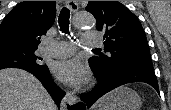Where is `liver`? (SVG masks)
I'll return each instance as SVG.
<instances>
[{
  "instance_id": "liver-1",
  "label": "liver",
  "mask_w": 171,
  "mask_h": 110,
  "mask_svg": "<svg viewBox=\"0 0 171 110\" xmlns=\"http://www.w3.org/2000/svg\"><path fill=\"white\" fill-rule=\"evenodd\" d=\"M102 104L98 101L95 109ZM0 110H57L43 85L29 72L0 70Z\"/></svg>"
}]
</instances>
